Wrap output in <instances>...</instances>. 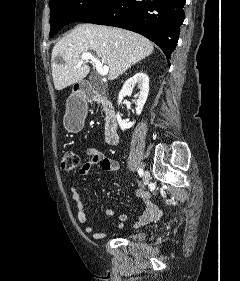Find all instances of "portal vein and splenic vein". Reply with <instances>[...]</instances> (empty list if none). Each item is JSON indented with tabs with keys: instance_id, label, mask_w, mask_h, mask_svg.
Returning a JSON list of instances; mask_svg holds the SVG:
<instances>
[{
	"instance_id": "1",
	"label": "portal vein and splenic vein",
	"mask_w": 240,
	"mask_h": 281,
	"mask_svg": "<svg viewBox=\"0 0 240 281\" xmlns=\"http://www.w3.org/2000/svg\"><path fill=\"white\" fill-rule=\"evenodd\" d=\"M86 61H92L94 67L96 68V70L101 76H105L108 74L109 67L103 66L100 60L96 56L92 55L91 53H83L76 67H80Z\"/></svg>"
}]
</instances>
